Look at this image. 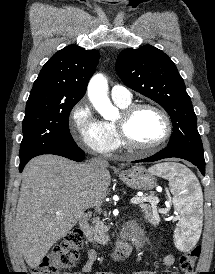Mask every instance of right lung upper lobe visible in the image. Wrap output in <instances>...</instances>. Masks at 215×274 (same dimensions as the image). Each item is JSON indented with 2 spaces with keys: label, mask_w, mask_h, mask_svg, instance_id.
<instances>
[{
  "label": "right lung upper lobe",
  "mask_w": 215,
  "mask_h": 274,
  "mask_svg": "<svg viewBox=\"0 0 215 274\" xmlns=\"http://www.w3.org/2000/svg\"><path fill=\"white\" fill-rule=\"evenodd\" d=\"M99 61V52L69 45L55 53L41 69L27 102H75L85 94Z\"/></svg>",
  "instance_id": "obj_1"
}]
</instances>
